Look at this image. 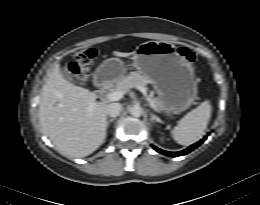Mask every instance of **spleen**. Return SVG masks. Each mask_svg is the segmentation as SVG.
Wrapping results in <instances>:
<instances>
[{
  "label": "spleen",
  "mask_w": 260,
  "mask_h": 205,
  "mask_svg": "<svg viewBox=\"0 0 260 205\" xmlns=\"http://www.w3.org/2000/svg\"><path fill=\"white\" fill-rule=\"evenodd\" d=\"M212 107L209 101L187 113L172 130L174 140L181 145H191L198 141L207 128Z\"/></svg>",
  "instance_id": "3e777b00"
}]
</instances>
